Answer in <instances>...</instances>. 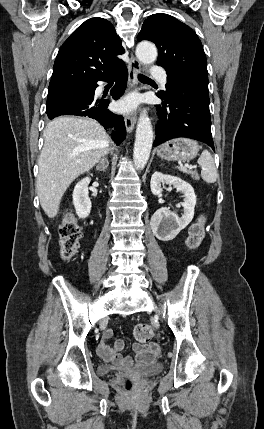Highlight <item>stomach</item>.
Returning a JSON list of instances; mask_svg holds the SVG:
<instances>
[{
    "label": "stomach",
    "mask_w": 264,
    "mask_h": 429,
    "mask_svg": "<svg viewBox=\"0 0 264 429\" xmlns=\"http://www.w3.org/2000/svg\"><path fill=\"white\" fill-rule=\"evenodd\" d=\"M198 142L189 138H176L160 145L157 155L167 161H189L199 152Z\"/></svg>",
    "instance_id": "1"
}]
</instances>
